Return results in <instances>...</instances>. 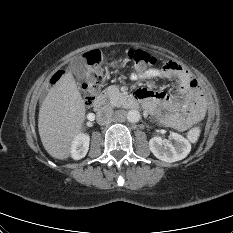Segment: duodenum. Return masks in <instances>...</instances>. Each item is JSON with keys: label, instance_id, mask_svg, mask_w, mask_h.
<instances>
[{"label": "duodenum", "instance_id": "obj_1", "mask_svg": "<svg viewBox=\"0 0 233 233\" xmlns=\"http://www.w3.org/2000/svg\"><path fill=\"white\" fill-rule=\"evenodd\" d=\"M139 98L135 96H130L126 99L125 105L129 108H135L138 105ZM107 102V96L102 94L96 98L94 101V107L96 109L102 108Z\"/></svg>", "mask_w": 233, "mask_h": 233}]
</instances>
